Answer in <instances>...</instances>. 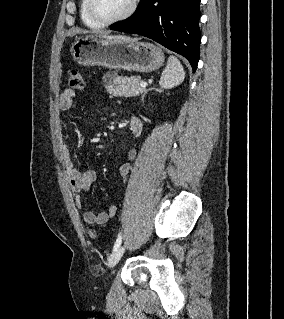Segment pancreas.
<instances>
[{
  "label": "pancreas",
  "instance_id": "cf45deb5",
  "mask_svg": "<svg viewBox=\"0 0 284 319\" xmlns=\"http://www.w3.org/2000/svg\"><path fill=\"white\" fill-rule=\"evenodd\" d=\"M108 77L113 78V82H107ZM103 80L105 82L106 90L116 97L138 96L145 90V88L139 85L142 80L137 76L120 77L115 73H107L104 75Z\"/></svg>",
  "mask_w": 284,
  "mask_h": 319
}]
</instances>
